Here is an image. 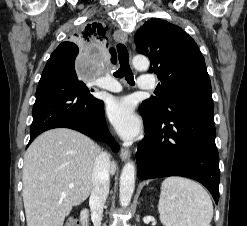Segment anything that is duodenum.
Listing matches in <instances>:
<instances>
[{
  "label": "duodenum",
  "instance_id": "1",
  "mask_svg": "<svg viewBox=\"0 0 247 226\" xmlns=\"http://www.w3.org/2000/svg\"><path fill=\"white\" fill-rule=\"evenodd\" d=\"M80 221L82 226H89V210L83 209L80 213Z\"/></svg>",
  "mask_w": 247,
  "mask_h": 226
}]
</instances>
